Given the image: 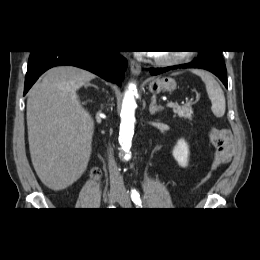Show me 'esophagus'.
Masks as SVG:
<instances>
[{"label": "esophagus", "mask_w": 260, "mask_h": 260, "mask_svg": "<svg viewBox=\"0 0 260 260\" xmlns=\"http://www.w3.org/2000/svg\"><path fill=\"white\" fill-rule=\"evenodd\" d=\"M130 70H131L132 74L139 75L141 72V66L136 61H131Z\"/></svg>", "instance_id": "1"}]
</instances>
